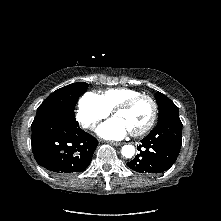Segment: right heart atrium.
Returning <instances> with one entry per match:
<instances>
[{
	"label": "right heart atrium",
	"instance_id": "obj_1",
	"mask_svg": "<svg viewBox=\"0 0 221 221\" xmlns=\"http://www.w3.org/2000/svg\"><path fill=\"white\" fill-rule=\"evenodd\" d=\"M110 112L100 95L86 92L78 101L76 118L83 128L94 130L102 119L108 117Z\"/></svg>",
	"mask_w": 221,
	"mask_h": 221
}]
</instances>
